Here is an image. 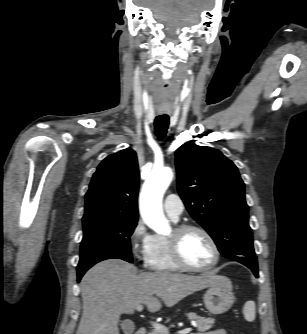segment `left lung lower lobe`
<instances>
[{"mask_svg": "<svg viewBox=\"0 0 307 334\" xmlns=\"http://www.w3.org/2000/svg\"><path fill=\"white\" fill-rule=\"evenodd\" d=\"M246 266L249 267L253 271V273H254V275L256 277H258V267H257V264L256 265L247 264Z\"/></svg>", "mask_w": 307, "mask_h": 334, "instance_id": "0a47b994", "label": "left lung lower lobe"}]
</instances>
